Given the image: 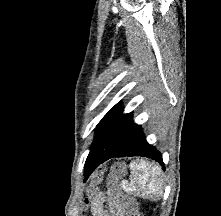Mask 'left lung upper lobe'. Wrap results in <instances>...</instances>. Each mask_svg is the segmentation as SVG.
Listing matches in <instances>:
<instances>
[{
  "instance_id": "1",
  "label": "left lung upper lobe",
  "mask_w": 221,
  "mask_h": 216,
  "mask_svg": "<svg viewBox=\"0 0 221 216\" xmlns=\"http://www.w3.org/2000/svg\"><path fill=\"white\" fill-rule=\"evenodd\" d=\"M140 129L132 120V113L122 114L120 104H116L99 122L91 150L107 147L120 151Z\"/></svg>"
}]
</instances>
